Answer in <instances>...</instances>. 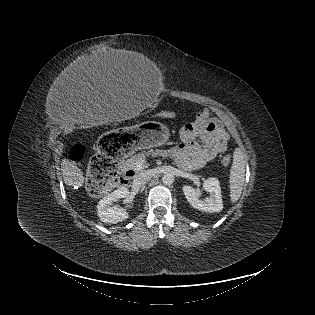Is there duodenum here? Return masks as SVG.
Wrapping results in <instances>:
<instances>
[{
    "label": "duodenum",
    "mask_w": 315,
    "mask_h": 315,
    "mask_svg": "<svg viewBox=\"0 0 315 315\" xmlns=\"http://www.w3.org/2000/svg\"><path fill=\"white\" fill-rule=\"evenodd\" d=\"M135 172L133 169L122 166V173L117 181V186L119 187H128L131 183V179L134 177Z\"/></svg>",
    "instance_id": "duodenum-1"
}]
</instances>
